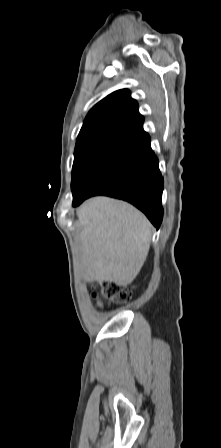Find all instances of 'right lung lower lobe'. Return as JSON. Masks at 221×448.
Segmentation results:
<instances>
[{"instance_id":"98d812e1","label":"right lung lower lobe","mask_w":221,"mask_h":448,"mask_svg":"<svg viewBox=\"0 0 221 448\" xmlns=\"http://www.w3.org/2000/svg\"><path fill=\"white\" fill-rule=\"evenodd\" d=\"M163 177L150 137L142 129L115 146L97 165L76 197L74 207L95 195L126 200L140 209L158 229L163 218Z\"/></svg>"}]
</instances>
